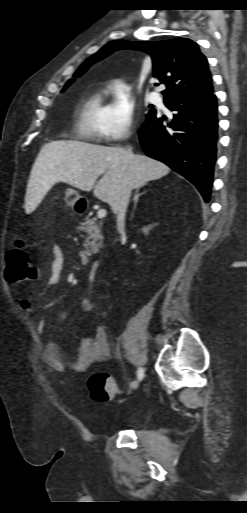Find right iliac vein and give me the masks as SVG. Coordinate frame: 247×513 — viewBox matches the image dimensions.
Wrapping results in <instances>:
<instances>
[{"mask_svg":"<svg viewBox=\"0 0 247 513\" xmlns=\"http://www.w3.org/2000/svg\"><path fill=\"white\" fill-rule=\"evenodd\" d=\"M136 387H137V383H133V384L131 385V387H130V390H134V389H136Z\"/></svg>","mask_w":247,"mask_h":513,"instance_id":"obj_1","label":"right iliac vein"}]
</instances>
